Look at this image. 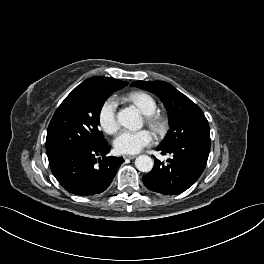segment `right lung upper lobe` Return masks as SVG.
Listing matches in <instances>:
<instances>
[{"label": "right lung upper lobe", "mask_w": 264, "mask_h": 264, "mask_svg": "<svg viewBox=\"0 0 264 264\" xmlns=\"http://www.w3.org/2000/svg\"><path fill=\"white\" fill-rule=\"evenodd\" d=\"M81 85H100L121 89L128 85V83L108 77H91L86 79Z\"/></svg>", "instance_id": "right-lung-upper-lobe-1"}]
</instances>
